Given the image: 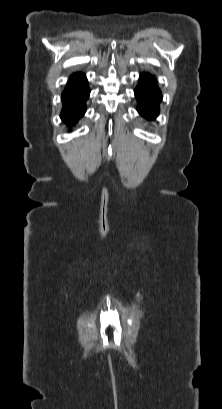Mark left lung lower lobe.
I'll return each instance as SVG.
<instances>
[{
    "label": "left lung lower lobe",
    "instance_id": "obj_1",
    "mask_svg": "<svg viewBox=\"0 0 222 409\" xmlns=\"http://www.w3.org/2000/svg\"><path fill=\"white\" fill-rule=\"evenodd\" d=\"M135 96L139 102L137 110L142 116L153 119L158 115L161 92L154 77L149 74H142L135 89Z\"/></svg>",
    "mask_w": 222,
    "mask_h": 409
}]
</instances>
